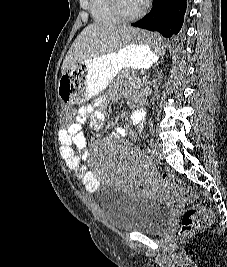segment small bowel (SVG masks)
Instances as JSON below:
<instances>
[{"label": "small bowel", "mask_w": 227, "mask_h": 267, "mask_svg": "<svg viewBox=\"0 0 227 267\" xmlns=\"http://www.w3.org/2000/svg\"><path fill=\"white\" fill-rule=\"evenodd\" d=\"M102 107V101L95 105L80 107L75 115V119H73V124L69 125L66 129L60 130L58 133V142L60 144L62 158L90 193H94L97 190L99 181L82 162V160L88 156L89 151L82 126L86 122H89L93 128H101L104 118ZM143 126L144 115L141 112H135L129 118L127 125L116 131L115 135L117 137L124 136L126 128L132 129L137 135L142 130Z\"/></svg>", "instance_id": "small-bowel-1"}]
</instances>
